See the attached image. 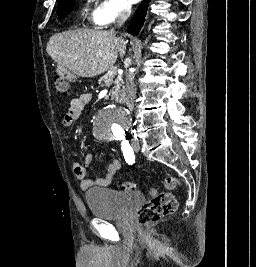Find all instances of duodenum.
Returning a JSON list of instances; mask_svg holds the SVG:
<instances>
[{
  "mask_svg": "<svg viewBox=\"0 0 256 267\" xmlns=\"http://www.w3.org/2000/svg\"><path fill=\"white\" fill-rule=\"evenodd\" d=\"M57 73L60 79H68L69 82H75V85H78V77H75V74H72L71 70H68V66H57ZM112 101H117V96L111 97ZM119 103H122V100H119Z\"/></svg>",
  "mask_w": 256,
  "mask_h": 267,
  "instance_id": "duodenum-1",
  "label": "duodenum"
}]
</instances>
